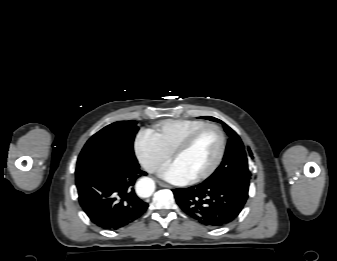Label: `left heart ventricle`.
<instances>
[{
  "label": "left heart ventricle",
  "instance_id": "1",
  "mask_svg": "<svg viewBox=\"0 0 337 261\" xmlns=\"http://www.w3.org/2000/svg\"><path fill=\"white\" fill-rule=\"evenodd\" d=\"M220 148L219 134L208 129L202 132L192 145L174 161L191 177L207 170L217 157Z\"/></svg>",
  "mask_w": 337,
  "mask_h": 261
}]
</instances>
